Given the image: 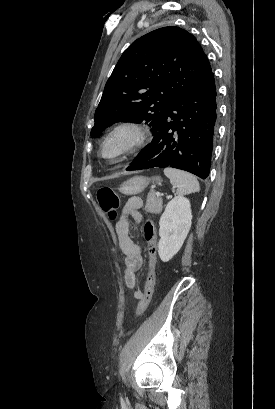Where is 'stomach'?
Masks as SVG:
<instances>
[{
  "instance_id": "1",
  "label": "stomach",
  "mask_w": 275,
  "mask_h": 409,
  "mask_svg": "<svg viewBox=\"0 0 275 409\" xmlns=\"http://www.w3.org/2000/svg\"><path fill=\"white\" fill-rule=\"evenodd\" d=\"M149 180L150 178H147V176H132V178L120 184L119 190L123 194H139L149 184ZM153 180H157L158 184H160L159 176H154Z\"/></svg>"
}]
</instances>
